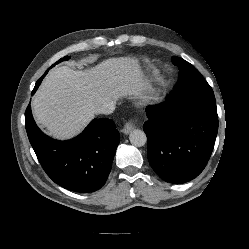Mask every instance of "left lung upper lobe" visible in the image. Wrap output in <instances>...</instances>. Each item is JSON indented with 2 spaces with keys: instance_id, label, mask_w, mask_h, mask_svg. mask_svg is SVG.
Here are the masks:
<instances>
[{
  "instance_id": "5c2ea615",
  "label": "left lung upper lobe",
  "mask_w": 249,
  "mask_h": 249,
  "mask_svg": "<svg viewBox=\"0 0 249 249\" xmlns=\"http://www.w3.org/2000/svg\"><path fill=\"white\" fill-rule=\"evenodd\" d=\"M172 62L179 67L180 71L178 82L172 92L178 101L198 98L215 100L212 88L192 64L176 56L173 57Z\"/></svg>"
}]
</instances>
